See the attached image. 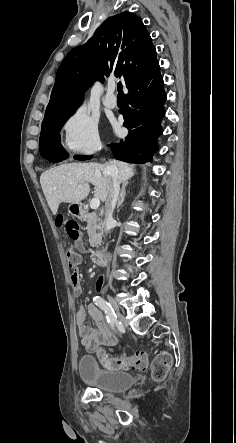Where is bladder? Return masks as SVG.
<instances>
[{
	"label": "bladder",
	"mask_w": 236,
	"mask_h": 443,
	"mask_svg": "<svg viewBox=\"0 0 236 443\" xmlns=\"http://www.w3.org/2000/svg\"><path fill=\"white\" fill-rule=\"evenodd\" d=\"M78 372L84 383L103 391L120 393L134 385V378L130 373L100 368L94 358L88 355L79 359Z\"/></svg>",
	"instance_id": "1"
}]
</instances>
